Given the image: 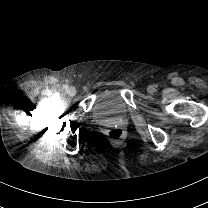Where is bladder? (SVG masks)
Instances as JSON below:
<instances>
[{
	"label": "bladder",
	"mask_w": 208,
	"mask_h": 208,
	"mask_svg": "<svg viewBox=\"0 0 208 208\" xmlns=\"http://www.w3.org/2000/svg\"><path fill=\"white\" fill-rule=\"evenodd\" d=\"M93 112L104 116L120 114L121 100L119 94H110L99 99L95 104Z\"/></svg>",
	"instance_id": "31cf9c89"
}]
</instances>
